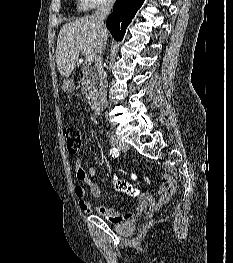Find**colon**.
<instances>
[{
    "mask_svg": "<svg viewBox=\"0 0 233 263\" xmlns=\"http://www.w3.org/2000/svg\"><path fill=\"white\" fill-rule=\"evenodd\" d=\"M65 138H66V144H67V150L71 154H75L79 151L81 145H82V135L81 131L78 126L76 125H68L65 128ZM122 173L125 171L122 170ZM128 176H143V171H128ZM116 188L119 189L122 192L134 194L136 191L133 189V187L125 180H118L116 181Z\"/></svg>",
    "mask_w": 233,
    "mask_h": 263,
    "instance_id": "1",
    "label": "colon"
}]
</instances>
